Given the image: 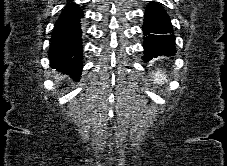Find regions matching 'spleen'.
Listing matches in <instances>:
<instances>
[{
	"mask_svg": "<svg viewBox=\"0 0 227 166\" xmlns=\"http://www.w3.org/2000/svg\"><path fill=\"white\" fill-rule=\"evenodd\" d=\"M153 75V81L157 84L162 85L163 83H165V81H167V76L165 75V73L161 72V71H157L155 73H152Z\"/></svg>",
	"mask_w": 227,
	"mask_h": 166,
	"instance_id": "3e777b00",
	"label": "spleen"
}]
</instances>
